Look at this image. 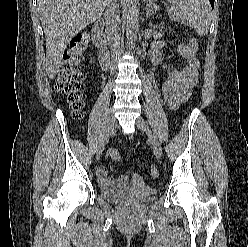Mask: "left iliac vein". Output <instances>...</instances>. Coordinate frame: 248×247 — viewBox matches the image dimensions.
Returning <instances> with one entry per match:
<instances>
[{
  "mask_svg": "<svg viewBox=\"0 0 248 247\" xmlns=\"http://www.w3.org/2000/svg\"><path fill=\"white\" fill-rule=\"evenodd\" d=\"M136 125L142 130L144 131L148 138L149 141L152 145V148L154 150V152L161 157L162 156V147L161 144L159 142V140L157 139V137L153 134V132L151 131L148 123L142 118V117H138L136 120Z\"/></svg>",
  "mask_w": 248,
  "mask_h": 247,
  "instance_id": "1",
  "label": "left iliac vein"
}]
</instances>
